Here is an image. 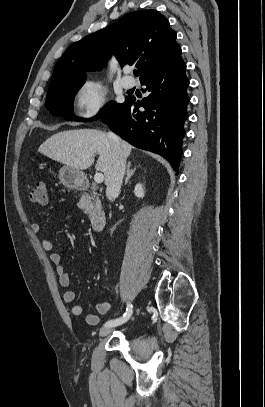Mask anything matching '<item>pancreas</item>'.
Listing matches in <instances>:
<instances>
[{
    "instance_id": "pancreas-1",
    "label": "pancreas",
    "mask_w": 265,
    "mask_h": 407,
    "mask_svg": "<svg viewBox=\"0 0 265 407\" xmlns=\"http://www.w3.org/2000/svg\"><path fill=\"white\" fill-rule=\"evenodd\" d=\"M92 190H93V195L91 197L88 195L82 196L78 203L79 208L83 209L86 214L90 212V210L93 206H96V207L101 206V202H100L99 198L97 197V193L95 192V190H96L95 184L92 185ZM92 201H94V203Z\"/></svg>"
}]
</instances>
